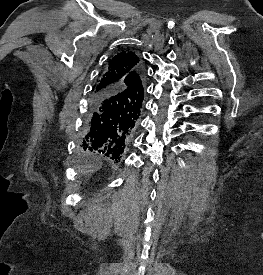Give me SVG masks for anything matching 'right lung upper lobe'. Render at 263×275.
Returning a JSON list of instances; mask_svg holds the SVG:
<instances>
[{
    "instance_id": "right-lung-upper-lobe-1",
    "label": "right lung upper lobe",
    "mask_w": 263,
    "mask_h": 275,
    "mask_svg": "<svg viewBox=\"0 0 263 275\" xmlns=\"http://www.w3.org/2000/svg\"><path fill=\"white\" fill-rule=\"evenodd\" d=\"M139 67V58L132 51L117 53L109 60L93 94L126 90L129 93L128 109L139 114L144 97L142 81L135 75Z\"/></svg>"
}]
</instances>
